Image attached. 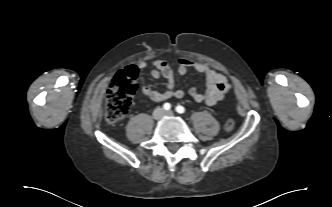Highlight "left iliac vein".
<instances>
[{"label": "left iliac vein", "mask_w": 332, "mask_h": 207, "mask_svg": "<svg viewBox=\"0 0 332 207\" xmlns=\"http://www.w3.org/2000/svg\"><path fill=\"white\" fill-rule=\"evenodd\" d=\"M166 115H168V116H173L174 113H173L172 111H168V112H166Z\"/></svg>", "instance_id": "obj_1"}]
</instances>
